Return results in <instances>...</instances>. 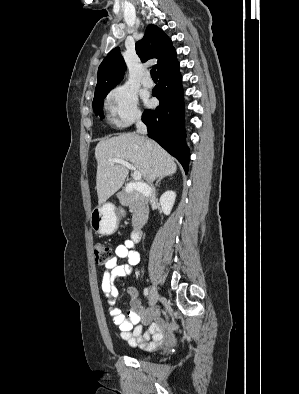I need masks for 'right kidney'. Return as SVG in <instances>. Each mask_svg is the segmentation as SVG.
Returning <instances> with one entry per match:
<instances>
[{
	"instance_id": "ca27d5eb",
	"label": "right kidney",
	"mask_w": 299,
	"mask_h": 394,
	"mask_svg": "<svg viewBox=\"0 0 299 394\" xmlns=\"http://www.w3.org/2000/svg\"><path fill=\"white\" fill-rule=\"evenodd\" d=\"M176 198V193L172 190L164 192L160 197V206L165 215H169L173 208Z\"/></svg>"
}]
</instances>
